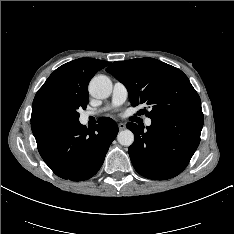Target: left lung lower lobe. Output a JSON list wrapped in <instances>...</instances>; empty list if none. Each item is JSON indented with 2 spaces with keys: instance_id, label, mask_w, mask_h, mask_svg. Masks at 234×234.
<instances>
[{
  "instance_id": "obj_1",
  "label": "left lung lower lobe",
  "mask_w": 234,
  "mask_h": 234,
  "mask_svg": "<svg viewBox=\"0 0 234 234\" xmlns=\"http://www.w3.org/2000/svg\"><path fill=\"white\" fill-rule=\"evenodd\" d=\"M202 111L186 112L153 119L144 126L128 123L135 136L129 156L135 170L153 180L177 176L188 165L200 143Z\"/></svg>"
}]
</instances>
